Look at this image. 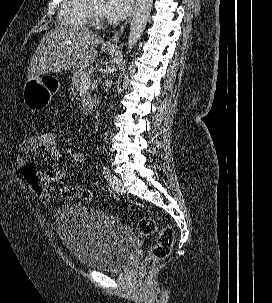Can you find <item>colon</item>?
Instances as JSON below:
<instances>
[{
    "label": "colon",
    "instance_id": "colon-1",
    "mask_svg": "<svg viewBox=\"0 0 272 303\" xmlns=\"http://www.w3.org/2000/svg\"><path fill=\"white\" fill-rule=\"evenodd\" d=\"M36 136L44 148H58L57 135L52 129H43ZM71 165L74 170H81L85 166L84 153L80 151L74 152L71 155ZM22 175L42 201L49 200L50 196L46 190L47 185L44 177L36 171L34 165H24L22 167ZM60 195L65 199L77 198L86 202L93 200L92 192L83 187H63L60 190ZM138 229L144 236H156L155 243L151 246L148 256L142 263V272H146L157 262L169 256L174 243L175 232L171 226H158L156 221L150 217L141 218L138 222Z\"/></svg>",
    "mask_w": 272,
    "mask_h": 303
}]
</instances>
